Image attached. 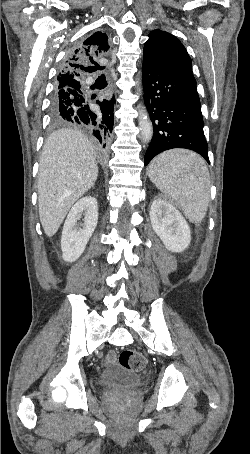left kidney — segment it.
<instances>
[{
  "mask_svg": "<svg viewBox=\"0 0 250 454\" xmlns=\"http://www.w3.org/2000/svg\"><path fill=\"white\" fill-rule=\"evenodd\" d=\"M149 215L153 230L168 250L180 253L189 246L191 241L189 225L169 201L156 197Z\"/></svg>",
  "mask_w": 250,
  "mask_h": 454,
  "instance_id": "5707ae66",
  "label": "left kidney"
}]
</instances>
